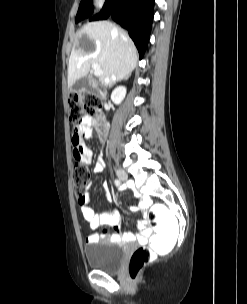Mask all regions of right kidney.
<instances>
[{"instance_id":"obj_1","label":"right kidney","mask_w":247,"mask_h":304,"mask_svg":"<svg viewBox=\"0 0 247 304\" xmlns=\"http://www.w3.org/2000/svg\"><path fill=\"white\" fill-rule=\"evenodd\" d=\"M125 95H126V87L118 86L113 90L111 94V100L114 104L118 105L123 101Z\"/></svg>"}]
</instances>
